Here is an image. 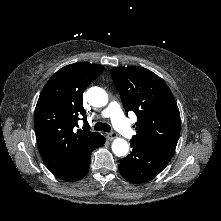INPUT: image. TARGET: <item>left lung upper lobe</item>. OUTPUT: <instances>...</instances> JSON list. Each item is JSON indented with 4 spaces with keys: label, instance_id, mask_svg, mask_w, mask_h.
<instances>
[{
    "label": "left lung upper lobe",
    "instance_id": "1",
    "mask_svg": "<svg viewBox=\"0 0 221 221\" xmlns=\"http://www.w3.org/2000/svg\"><path fill=\"white\" fill-rule=\"evenodd\" d=\"M110 72L124 109L134 111L138 118L131 141L172 157L181 121L176 100L164 80L138 66L115 67Z\"/></svg>",
    "mask_w": 221,
    "mask_h": 221
}]
</instances>
